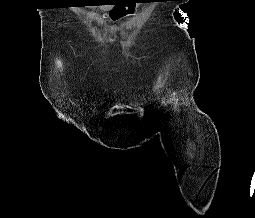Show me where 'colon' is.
I'll list each match as a JSON object with an SVG mask.
<instances>
[{
	"label": "colon",
	"mask_w": 255,
	"mask_h": 218,
	"mask_svg": "<svg viewBox=\"0 0 255 218\" xmlns=\"http://www.w3.org/2000/svg\"><path fill=\"white\" fill-rule=\"evenodd\" d=\"M135 10V3H126L123 5H119L114 7L110 12H109V17L112 19H119L123 17L124 15L131 13Z\"/></svg>",
	"instance_id": "1"
}]
</instances>
